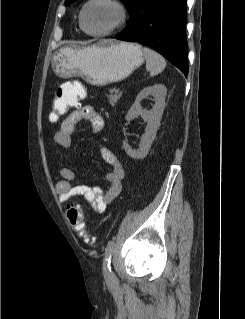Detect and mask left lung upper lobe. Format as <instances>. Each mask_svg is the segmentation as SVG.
<instances>
[{
  "instance_id": "left-lung-upper-lobe-1",
  "label": "left lung upper lobe",
  "mask_w": 245,
  "mask_h": 319,
  "mask_svg": "<svg viewBox=\"0 0 245 319\" xmlns=\"http://www.w3.org/2000/svg\"><path fill=\"white\" fill-rule=\"evenodd\" d=\"M75 1L76 0H66L65 4L70 5L71 3L75 2ZM121 1L126 5L128 12H129V15L131 17V15L135 9V6L139 0H121Z\"/></svg>"
}]
</instances>
